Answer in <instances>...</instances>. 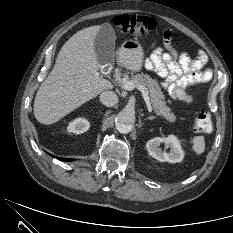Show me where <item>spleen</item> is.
Instances as JSON below:
<instances>
[{"mask_svg":"<svg viewBox=\"0 0 233 233\" xmlns=\"http://www.w3.org/2000/svg\"><path fill=\"white\" fill-rule=\"evenodd\" d=\"M193 143V151L197 154L200 155L204 152L205 150V141L203 136H196L192 139Z\"/></svg>","mask_w":233,"mask_h":233,"instance_id":"3e777b00","label":"spleen"}]
</instances>
